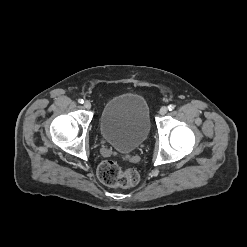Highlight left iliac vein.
Segmentation results:
<instances>
[{"instance_id":"left-iliac-vein-1","label":"left iliac vein","mask_w":247,"mask_h":247,"mask_svg":"<svg viewBox=\"0 0 247 247\" xmlns=\"http://www.w3.org/2000/svg\"><path fill=\"white\" fill-rule=\"evenodd\" d=\"M167 112H168V109H167L166 106L161 107V109H160V111H159V113H160L161 115H165Z\"/></svg>"}]
</instances>
